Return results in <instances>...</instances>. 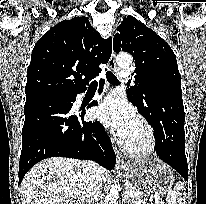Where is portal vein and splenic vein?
Listing matches in <instances>:
<instances>
[{
  "mask_svg": "<svg viewBox=\"0 0 206 204\" xmlns=\"http://www.w3.org/2000/svg\"><path fill=\"white\" fill-rule=\"evenodd\" d=\"M127 193L131 197H137V194L133 190H129ZM139 202L141 203L142 201L139 200ZM154 204H159V199L157 197L154 198Z\"/></svg>",
  "mask_w": 206,
  "mask_h": 204,
  "instance_id": "1",
  "label": "portal vein and splenic vein"
}]
</instances>
